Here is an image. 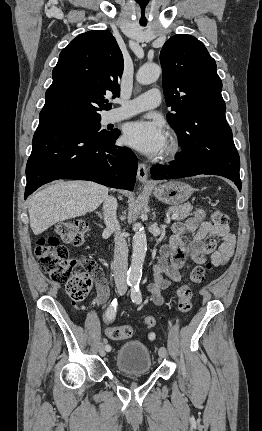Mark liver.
<instances>
[{"label": "liver", "mask_w": 262, "mask_h": 431, "mask_svg": "<svg viewBox=\"0 0 262 431\" xmlns=\"http://www.w3.org/2000/svg\"><path fill=\"white\" fill-rule=\"evenodd\" d=\"M108 196V188L89 181L53 184L28 199L30 226L39 235L50 226L96 210Z\"/></svg>", "instance_id": "1"}]
</instances>
